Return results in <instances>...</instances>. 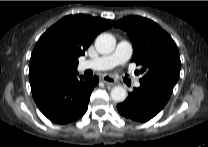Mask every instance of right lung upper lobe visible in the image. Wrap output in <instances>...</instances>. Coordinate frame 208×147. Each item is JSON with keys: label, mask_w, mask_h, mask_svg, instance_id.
Listing matches in <instances>:
<instances>
[{"label": "right lung upper lobe", "mask_w": 208, "mask_h": 147, "mask_svg": "<svg viewBox=\"0 0 208 147\" xmlns=\"http://www.w3.org/2000/svg\"><path fill=\"white\" fill-rule=\"evenodd\" d=\"M113 21L77 14L62 18L38 40L30 59L31 89L76 74L78 58Z\"/></svg>", "instance_id": "1"}]
</instances>
